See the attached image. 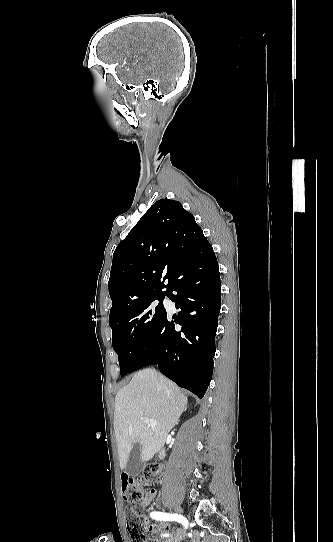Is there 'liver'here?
<instances>
[{"label":"liver","instance_id":"liver-1","mask_svg":"<svg viewBox=\"0 0 333 542\" xmlns=\"http://www.w3.org/2000/svg\"><path fill=\"white\" fill-rule=\"evenodd\" d=\"M186 404L187 398L180 388L151 368L137 372L130 384L119 390L113 424L121 470H125L137 442L141 446L142 462H148L162 450ZM140 418H152L157 426H148Z\"/></svg>","mask_w":333,"mask_h":542}]
</instances>
